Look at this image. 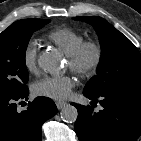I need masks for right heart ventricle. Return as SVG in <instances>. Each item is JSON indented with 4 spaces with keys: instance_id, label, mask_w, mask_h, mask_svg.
<instances>
[{
    "instance_id": "e07e8e85",
    "label": "right heart ventricle",
    "mask_w": 141,
    "mask_h": 141,
    "mask_svg": "<svg viewBox=\"0 0 141 141\" xmlns=\"http://www.w3.org/2000/svg\"><path fill=\"white\" fill-rule=\"evenodd\" d=\"M47 39L67 56L85 41L83 34L70 27H60L50 31L47 34Z\"/></svg>"
}]
</instances>
